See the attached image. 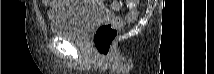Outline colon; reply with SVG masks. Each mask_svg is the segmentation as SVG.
I'll return each mask as SVG.
<instances>
[{
	"instance_id": "1",
	"label": "colon",
	"mask_w": 214,
	"mask_h": 74,
	"mask_svg": "<svg viewBox=\"0 0 214 74\" xmlns=\"http://www.w3.org/2000/svg\"><path fill=\"white\" fill-rule=\"evenodd\" d=\"M126 3L130 10L125 17H117L112 21L101 24L94 33V47L103 57H107L111 53L112 44L118 30L121 29L125 24L133 22L139 14L140 2L138 0H127ZM121 6V1L109 2V8L114 11L119 10Z\"/></svg>"
}]
</instances>
